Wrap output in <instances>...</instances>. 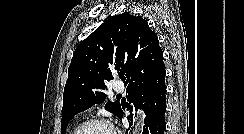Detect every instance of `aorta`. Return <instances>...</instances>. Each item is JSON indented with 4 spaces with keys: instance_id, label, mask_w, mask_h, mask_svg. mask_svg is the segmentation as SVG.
<instances>
[{
    "instance_id": "762f6f07",
    "label": "aorta",
    "mask_w": 244,
    "mask_h": 134,
    "mask_svg": "<svg viewBox=\"0 0 244 134\" xmlns=\"http://www.w3.org/2000/svg\"><path fill=\"white\" fill-rule=\"evenodd\" d=\"M142 120L141 118H137L136 124H135V129H134V134H138L142 131Z\"/></svg>"
}]
</instances>
